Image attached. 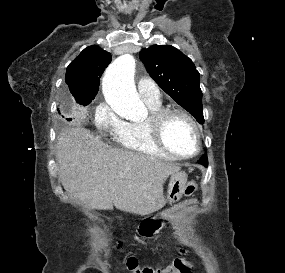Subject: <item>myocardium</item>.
I'll return each instance as SVG.
<instances>
[{
    "label": "myocardium",
    "mask_w": 285,
    "mask_h": 273,
    "mask_svg": "<svg viewBox=\"0 0 285 273\" xmlns=\"http://www.w3.org/2000/svg\"><path fill=\"white\" fill-rule=\"evenodd\" d=\"M172 115H181L185 117L193 126L196 134V148L192 154L183 155L174 152L168 147L163 138V128L167 119ZM147 125L149 132L154 142L166 153L179 159H190L199 154L202 148V132L201 127L197 120L188 111L182 108H162L158 111L152 112L147 119Z\"/></svg>",
    "instance_id": "myocardium-1"
}]
</instances>
